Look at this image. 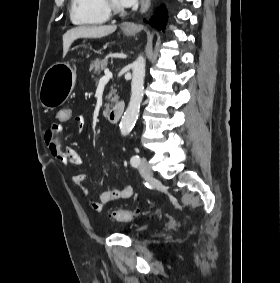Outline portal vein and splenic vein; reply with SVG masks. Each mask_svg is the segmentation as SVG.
<instances>
[{
	"label": "portal vein and splenic vein",
	"mask_w": 280,
	"mask_h": 283,
	"mask_svg": "<svg viewBox=\"0 0 280 283\" xmlns=\"http://www.w3.org/2000/svg\"><path fill=\"white\" fill-rule=\"evenodd\" d=\"M112 77V72L109 69H105V75L101 77L100 83H107Z\"/></svg>",
	"instance_id": "obj_1"
}]
</instances>
